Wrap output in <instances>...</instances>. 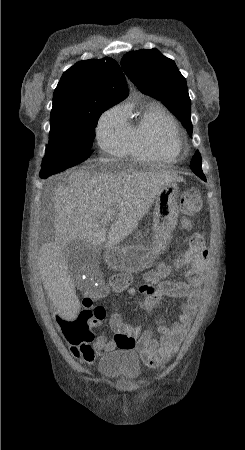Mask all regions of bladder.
Returning a JSON list of instances; mask_svg holds the SVG:
<instances>
[{"label":"bladder","mask_w":245,"mask_h":450,"mask_svg":"<svg viewBox=\"0 0 245 450\" xmlns=\"http://www.w3.org/2000/svg\"><path fill=\"white\" fill-rule=\"evenodd\" d=\"M100 373L114 381H132L141 374L139 360L132 349H123L104 356L99 361Z\"/></svg>","instance_id":"bladder-1"}]
</instances>
